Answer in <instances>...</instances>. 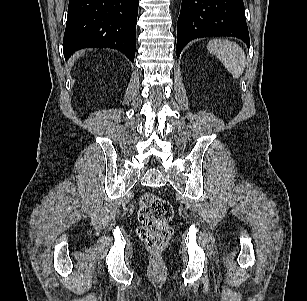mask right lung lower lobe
<instances>
[{
	"instance_id": "1",
	"label": "right lung lower lobe",
	"mask_w": 307,
	"mask_h": 301,
	"mask_svg": "<svg viewBox=\"0 0 307 301\" xmlns=\"http://www.w3.org/2000/svg\"><path fill=\"white\" fill-rule=\"evenodd\" d=\"M139 0H70L65 59L81 48H114L134 61Z\"/></svg>"
}]
</instances>
